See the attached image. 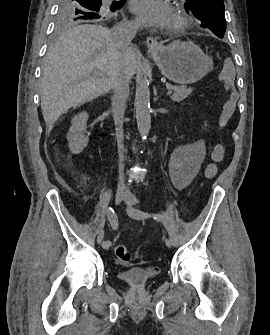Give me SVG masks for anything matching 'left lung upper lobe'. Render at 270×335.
Returning <instances> with one entry per match:
<instances>
[{"mask_svg":"<svg viewBox=\"0 0 270 335\" xmlns=\"http://www.w3.org/2000/svg\"><path fill=\"white\" fill-rule=\"evenodd\" d=\"M184 8L200 26L223 38L226 31L223 0H185Z\"/></svg>","mask_w":270,"mask_h":335,"instance_id":"1","label":"left lung upper lobe"}]
</instances>
